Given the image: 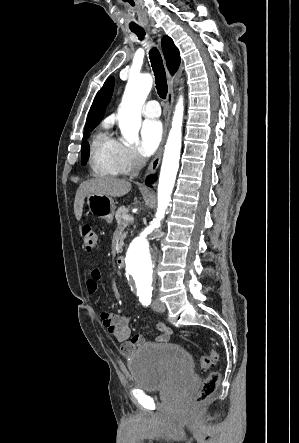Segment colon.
<instances>
[{
	"instance_id": "obj_1",
	"label": "colon",
	"mask_w": 299,
	"mask_h": 443,
	"mask_svg": "<svg viewBox=\"0 0 299 443\" xmlns=\"http://www.w3.org/2000/svg\"><path fill=\"white\" fill-rule=\"evenodd\" d=\"M81 239L84 247L91 251L98 244V236L91 225H84L81 229ZM219 358V354L212 349L208 355H202L198 360L199 368L203 371L208 370ZM221 375L219 372H211L202 382L200 390L195 397L197 405H202L209 401L216 393L220 384Z\"/></svg>"
}]
</instances>
